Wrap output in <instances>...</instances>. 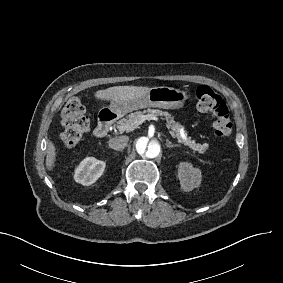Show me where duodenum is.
Segmentation results:
<instances>
[{"instance_id": "obj_1", "label": "duodenum", "mask_w": 283, "mask_h": 283, "mask_svg": "<svg viewBox=\"0 0 283 283\" xmlns=\"http://www.w3.org/2000/svg\"><path fill=\"white\" fill-rule=\"evenodd\" d=\"M115 120V115L111 112H105L100 116L98 125L95 128L94 134L98 138H104L109 133Z\"/></svg>"}]
</instances>
